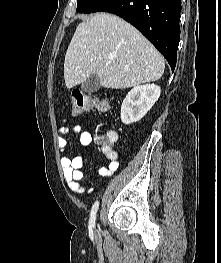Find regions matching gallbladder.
I'll use <instances>...</instances> for the list:
<instances>
[{
  "instance_id": "obj_1",
  "label": "gallbladder",
  "mask_w": 221,
  "mask_h": 263,
  "mask_svg": "<svg viewBox=\"0 0 221 263\" xmlns=\"http://www.w3.org/2000/svg\"><path fill=\"white\" fill-rule=\"evenodd\" d=\"M100 80L96 74L90 75L83 83L82 90L86 93H93L100 89Z\"/></svg>"
}]
</instances>
